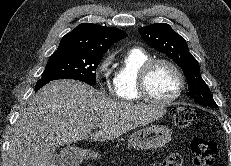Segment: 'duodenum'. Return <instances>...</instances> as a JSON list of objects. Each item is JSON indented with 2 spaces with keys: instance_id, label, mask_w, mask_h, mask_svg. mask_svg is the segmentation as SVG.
Listing matches in <instances>:
<instances>
[{
  "instance_id": "duodenum-1",
  "label": "duodenum",
  "mask_w": 231,
  "mask_h": 166,
  "mask_svg": "<svg viewBox=\"0 0 231 166\" xmlns=\"http://www.w3.org/2000/svg\"><path fill=\"white\" fill-rule=\"evenodd\" d=\"M63 158H64V160H66V161L75 160L76 154H75L74 152H72V151H66V152H64V154H63ZM83 161H85V160H83Z\"/></svg>"
}]
</instances>
